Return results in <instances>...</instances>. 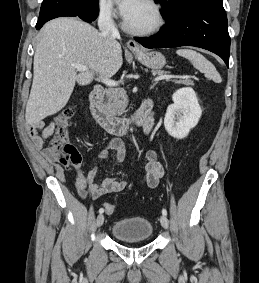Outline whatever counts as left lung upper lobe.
I'll list each match as a JSON object with an SVG mask.
<instances>
[{
    "label": "left lung upper lobe",
    "mask_w": 259,
    "mask_h": 283,
    "mask_svg": "<svg viewBox=\"0 0 259 283\" xmlns=\"http://www.w3.org/2000/svg\"><path fill=\"white\" fill-rule=\"evenodd\" d=\"M161 3L163 10L161 11L163 17L169 20L183 12L197 2L203 0H155Z\"/></svg>",
    "instance_id": "1"
}]
</instances>
